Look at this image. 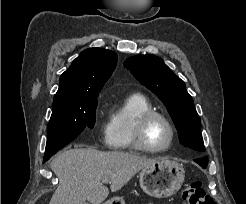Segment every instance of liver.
Returning a JSON list of instances; mask_svg holds the SVG:
<instances>
[{"instance_id": "6515ba94", "label": "liver", "mask_w": 246, "mask_h": 204, "mask_svg": "<svg viewBox=\"0 0 246 204\" xmlns=\"http://www.w3.org/2000/svg\"><path fill=\"white\" fill-rule=\"evenodd\" d=\"M133 153L103 152L91 148L66 150L51 162L59 185L49 204H101L109 195L102 180L110 179L112 192L120 190L140 170L156 163Z\"/></svg>"}]
</instances>
